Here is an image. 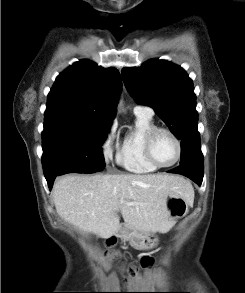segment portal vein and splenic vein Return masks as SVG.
I'll return each mask as SVG.
<instances>
[{
	"mask_svg": "<svg viewBox=\"0 0 245 293\" xmlns=\"http://www.w3.org/2000/svg\"><path fill=\"white\" fill-rule=\"evenodd\" d=\"M128 205H132V203H127Z\"/></svg>",
	"mask_w": 245,
	"mask_h": 293,
	"instance_id": "18ae733b",
	"label": "portal vein and splenic vein"
}]
</instances>
